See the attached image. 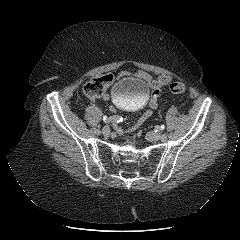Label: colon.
Returning a JSON list of instances; mask_svg holds the SVG:
<instances>
[{
  "label": "colon",
  "instance_id": "obj_1",
  "mask_svg": "<svg viewBox=\"0 0 240 240\" xmlns=\"http://www.w3.org/2000/svg\"><path fill=\"white\" fill-rule=\"evenodd\" d=\"M109 78L102 76L93 78L84 85V93L89 98H100L105 94V89L108 84ZM168 91L172 94H183L186 92V87L181 82H174L169 86Z\"/></svg>",
  "mask_w": 240,
  "mask_h": 240
}]
</instances>
